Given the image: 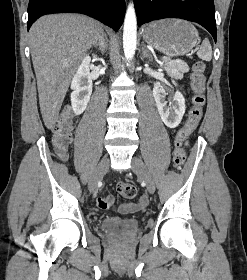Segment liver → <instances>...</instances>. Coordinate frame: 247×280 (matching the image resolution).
Returning <instances> with one entry per match:
<instances>
[{
    "mask_svg": "<svg viewBox=\"0 0 247 280\" xmlns=\"http://www.w3.org/2000/svg\"><path fill=\"white\" fill-rule=\"evenodd\" d=\"M102 33L98 21L77 14L45 15L30 28L40 111L48 129H52L58 120L70 81L80 62Z\"/></svg>",
    "mask_w": 247,
    "mask_h": 280,
    "instance_id": "6515ba94",
    "label": "liver"
}]
</instances>
